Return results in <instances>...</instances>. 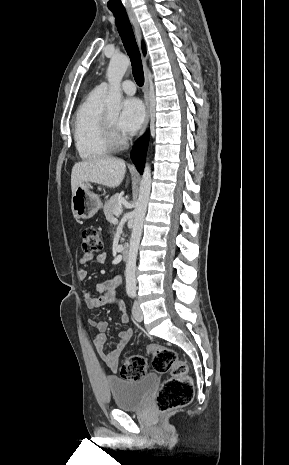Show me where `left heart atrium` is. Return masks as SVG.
Wrapping results in <instances>:
<instances>
[{
  "label": "left heart atrium",
  "mask_w": 289,
  "mask_h": 465,
  "mask_svg": "<svg viewBox=\"0 0 289 465\" xmlns=\"http://www.w3.org/2000/svg\"><path fill=\"white\" fill-rule=\"evenodd\" d=\"M145 119V108L137 98H128L123 103L122 112L118 120L119 128L125 133H134Z\"/></svg>",
  "instance_id": "1"
}]
</instances>
